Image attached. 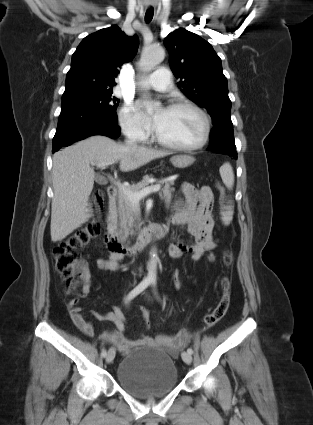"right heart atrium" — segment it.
<instances>
[{"mask_svg":"<svg viewBox=\"0 0 313 425\" xmlns=\"http://www.w3.org/2000/svg\"><path fill=\"white\" fill-rule=\"evenodd\" d=\"M119 123L128 138L138 142L148 138V130L131 102L125 103L120 110Z\"/></svg>","mask_w":313,"mask_h":425,"instance_id":"right-heart-atrium-1","label":"right heart atrium"}]
</instances>
